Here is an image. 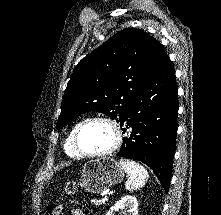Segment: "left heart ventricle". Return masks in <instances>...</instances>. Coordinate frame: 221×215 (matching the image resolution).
Masks as SVG:
<instances>
[{
	"instance_id": "obj_1",
	"label": "left heart ventricle",
	"mask_w": 221,
	"mask_h": 215,
	"mask_svg": "<svg viewBox=\"0 0 221 215\" xmlns=\"http://www.w3.org/2000/svg\"><path fill=\"white\" fill-rule=\"evenodd\" d=\"M112 142V130L103 122L89 123L79 134V146L87 153L105 151L112 145Z\"/></svg>"
}]
</instances>
